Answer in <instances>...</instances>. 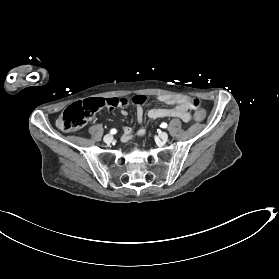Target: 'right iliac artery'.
I'll list each match as a JSON object with an SVG mask.
<instances>
[{
	"label": "right iliac artery",
	"instance_id": "1",
	"mask_svg": "<svg viewBox=\"0 0 279 279\" xmlns=\"http://www.w3.org/2000/svg\"><path fill=\"white\" fill-rule=\"evenodd\" d=\"M116 132H117L116 129H112V130L110 131L111 134H115Z\"/></svg>",
	"mask_w": 279,
	"mask_h": 279
}]
</instances>
